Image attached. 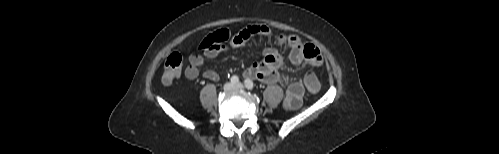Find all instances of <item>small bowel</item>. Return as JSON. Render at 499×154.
I'll return each mask as SVG.
<instances>
[{
    "mask_svg": "<svg viewBox=\"0 0 499 154\" xmlns=\"http://www.w3.org/2000/svg\"><path fill=\"white\" fill-rule=\"evenodd\" d=\"M270 30L266 26L252 25L248 26L235 34L227 29L217 30L206 36L199 49L202 53H193L189 57V65L185 69V76L188 79H196L199 74V68L203 65L205 58L211 59L219 54L237 49L250 41L260 42L270 38ZM281 45L290 49L289 59L295 65L309 64L319 67L323 63V57L320 50L311 43H304L294 35H279L276 38ZM283 64V56L274 48H266L263 53V59L252 63L244 72L245 77L258 79L265 83H275L286 76L280 71ZM203 77L210 81H218L220 75L214 70H205ZM304 86L301 81H293L287 88L284 97V106L289 110L298 109L303 101Z\"/></svg>",
    "mask_w": 499,
    "mask_h": 154,
    "instance_id": "small-bowel-1",
    "label": "small bowel"
}]
</instances>
